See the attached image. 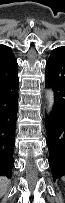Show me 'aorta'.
Here are the masks:
<instances>
[{"label": "aorta", "instance_id": "obj_1", "mask_svg": "<svg viewBox=\"0 0 65 203\" xmlns=\"http://www.w3.org/2000/svg\"><path fill=\"white\" fill-rule=\"evenodd\" d=\"M45 99H46L47 112L48 114H50L53 111L54 104H55V93L51 86L46 89Z\"/></svg>", "mask_w": 65, "mask_h": 203}]
</instances>
